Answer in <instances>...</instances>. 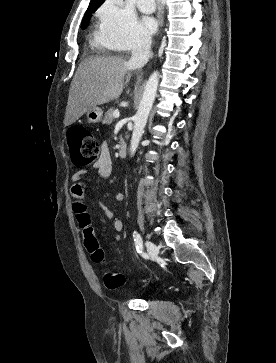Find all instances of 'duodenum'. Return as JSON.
I'll use <instances>...</instances> for the list:
<instances>
[{
	"label": "duodenum",
	"mask_w": 276,
	"mask_h": 363,
	"mask_svg": "<svg viewBox=\"0 0 276 363\" xmlns=\"http://www.w3.org/2000/svg\"><path fill=\"white\" fill-rule=\"evenodd\" d=\"M118 153L121 158L127 155V144L124 139H120L119 141Z\"/></svg>",
	"instance_id": "obj_1"
}]
</instances>
